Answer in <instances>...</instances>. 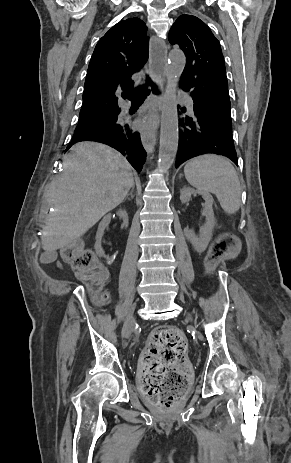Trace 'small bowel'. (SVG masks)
Wrapping results in <instances>:
<instances>
[{"label": "small bowel", "mask_w": 291, "mask_h": 463, "mask_svg": "<svg viewBox=\"0 0 291 463\" xmlns=\"http://www.w3.org/2000/svg\"><path fill=\"white\" fill-rule=\"evenodd\" d=\"M54 254L51 251H47L41 258L43 262H47L51 259H53ZM56 265L58 268L63 269V264L60 260L56 261Z\"/></svg>", "instance_id": "small-bowel-1"}]
</instances>
